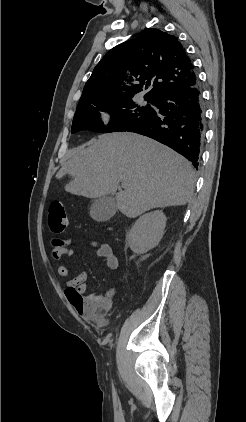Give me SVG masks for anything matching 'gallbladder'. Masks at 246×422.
Masks as SVG:
<instances>
[{
    "instance_id": "1",
    "label": "gallbladder",
    "mask_w": 246,
    "mask_h": 422,
    "mask_svg": "<svg viewBox=\"0 0 246 422\" xmlns=\"http://www.w3.org/2000/svg\"><path fill=\"white\" fill-rule=\"evenodd\" d=\"M117 211L116 200L111 196H102L92 201L90 216L98 222L108 221Z\"/></svg>"
}]
</instances>
